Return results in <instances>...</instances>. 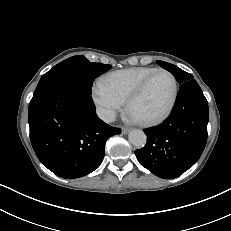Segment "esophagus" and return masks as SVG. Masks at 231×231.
<instances>
[{
    "label": "esophagus",
    "instance_id": "1",
    "mask_svg": "<svg viewBox=\"0 0 231 231\" xmlns=\"http://www.w3.org/2000/svg\"><path fill=\"white\" fill-rule=\"evenodd\" d=\"M129 131H130L129 128H122V133H123L124 135L128 134Z\"/></svg>",
    "mask_w": 231,
    "mask_h": 231
}]
</instances>
